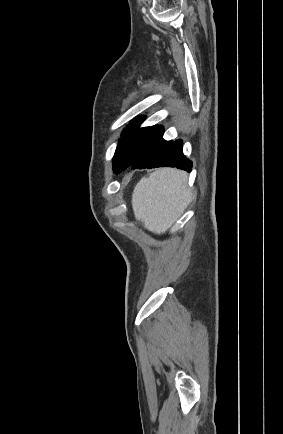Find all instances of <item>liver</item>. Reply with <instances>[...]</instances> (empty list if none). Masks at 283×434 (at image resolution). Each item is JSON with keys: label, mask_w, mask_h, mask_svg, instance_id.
<instances>
[{"label": "liver", "mask_w": 283, "mask_h": 434, "mask_svg": "<svg viewBox=\"0 0 283 434\" xmlns=\"http://www.w3.org/2000/svg\"><path fill=\"white\" fill-rule=\"evenodd\" d=\"M188 174L173 168H159L143 177L132 193L136 220L155 233H165L183 214L191 200Z\"/></svg>", "instance_id": "6515ba94"}]
</instances>
